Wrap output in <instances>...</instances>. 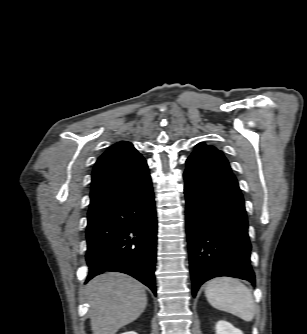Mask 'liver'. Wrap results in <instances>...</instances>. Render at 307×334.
Here are the masks:
<instances>
[{
    "mask_svg": "<svg viewBox=\"0 0 307 334\" xmlns=\"http://www.w3.org/2000/svg\"><path fill=\"white\" fill-rule=\"evenodd\" d=\"M93 334H116L135 321L147 305L144 286L122 273H104L85 287Z\"/></svg>",
    "mask_w": 307,
    "mask_h": 334,
    "instance_id": "6515ba94",
    "label": "liver"
}]
</instances>
